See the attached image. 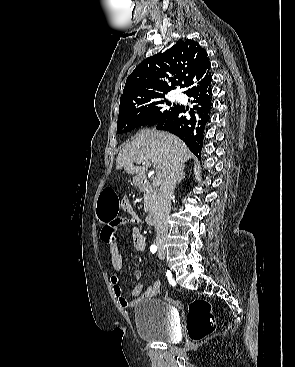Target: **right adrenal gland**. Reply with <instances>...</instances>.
Here are the masks:
<instances>
[{
	"instance_id": "obj_1",
	"label": "right adrenal gland",
	"mask_w": 295,
	"mask_h": 367,
	"mask_svg": "<svg viewBox=\"0 0 295 367\" xmlns=\"http://www.w3.org/2000/svg\"><path fill=\"white\" fill-rule=\"evenodd\" d=\"M184 177H185V172H184V167H183L182 170H181V173H180V177L177 181L178 184L181 183V181L184 179Z\"/></svg>"
}]
</instances>
